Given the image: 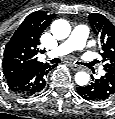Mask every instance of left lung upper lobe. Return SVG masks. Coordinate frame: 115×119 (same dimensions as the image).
Instances as JSON below:
<instances>
[{
	"label": "left lung upper lobe",
	"instance_id": "obj_1",
	"mask_svg": "<svg viewBox=\"0 0 115 119\" xmlns=\"http://www.w3.org/2000/svg\"><path fill=\"white\" fill-rule=\"evenodd\" d=\"M91 28L100 39L106 74L115 76V26L102 14L89 15Z\"/></svg>",
	"mask_w": 115,
	"mask_h": 119
}]
</instances>
